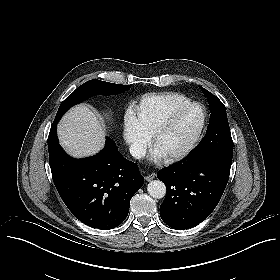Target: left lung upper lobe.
<instances>
[{
  "instance_id": "obj_1",
  "label": "left lung upper lobe",
  "mask_w": 280,
  "mask_h": 280,
  "mask_svg": "<svg viewBox=\"0 0 280 280\" xmlns=\"http://www.w3.org/2000/svg\"><path fill=\"white\" fill-rule=\"evenodd\" d=\"M210 106V121L204 138L196 147L190 160L209 157L232 159L233 141L227 120L226 109L218 97L200 87Z\"/></svg>"
}]
</instances>
